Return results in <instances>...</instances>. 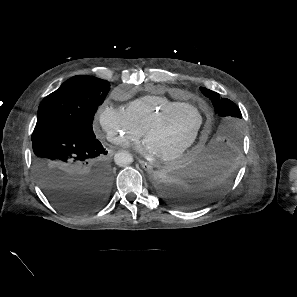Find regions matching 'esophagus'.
<instances>
[{
    "label": "esophagus",
    "instance_id": "1",
    "mask_svg": "<svg viewBox=\"0 0 297 297\" xmlns=\"http://www.w3.org/2000/svg\"><path fill=\"white\" fill-rule=\"evenodd\" d=\"M139 163L141 164L142 168L145 170V171H152L153 167L151 164L147 163L146 161L144 160H139Z\"/></svg>",
    "mask_w": 297,
    "mask_h": 297
}]
</instances>
